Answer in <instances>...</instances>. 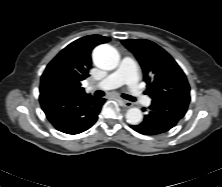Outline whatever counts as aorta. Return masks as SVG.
<instances>
[{"label": "aorta", "instance_id": "obj_1", "mask_svg": "<svg viewBox=\"0 0 222 187\" xmlns=\"http://www.w3.org/2000/svg\"><path fill=\"white\" fill-rule=\"evenodd\" d=\"M94 64L104 70L115 69L120 62L118 51L108 44L97 46L93 51ZM126 120L131 125H138L143 120L142 112L139 108H130L126 112Z\"/></svg>", "mask_w": 222, "mask_h": 187}]
</instances>
